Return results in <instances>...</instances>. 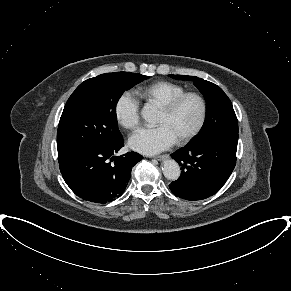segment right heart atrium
<instances>
[{"mask_svg": "<svg viewBox=\"0 0 291 291\" xmlns=\"http://www.w3.org/2000/svg\"><path fill=\"white\" fill-rule=\"evenodd\" d=\"M114 113L118 124L135 131L140 125V102L130 91L122 93L115 103Z\"/></svg>", "mask_w": 291, "mask_h": 291, "instance_id": "1", "label": "right heart atrium"}]
</instances>
